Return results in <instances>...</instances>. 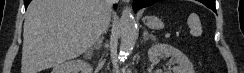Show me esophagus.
<instances>
[{
    "label": "esophagus",
    "instance_id": "1",
    "mask_svg": "<svg viewBox=\"0 0 244 73\" xmlns=\"http://www.w3.org/2000/svg\"><path fill=\"white\" fill-rule=\"evenodd\" d=\"M123 2H125V3H128L129 2V0H122Z\"/></svg>",
    "mask_w": 244,
    "mask_h": 73
}]
</instances>
